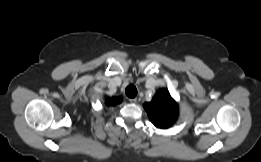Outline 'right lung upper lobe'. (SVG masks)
I'll use <instances>...</instances> for the list:
<instances>
[{"mask_svg": "<svg viewBox=\"0 0 261 162\" xmlns=\"http://www.w3.org/2000/svg\"><path fill=\"white\" fill-rule=\"evenodd\" d=\"M122 101L121 97H112L107 100V104L110 106H114L119 104Z\"/></svg>", "mask_w": 261, "mask_h": 162, "instance_id": "right-lung-upper-lobe-1", "label": "right lung upper lobe"}]
</instances>
